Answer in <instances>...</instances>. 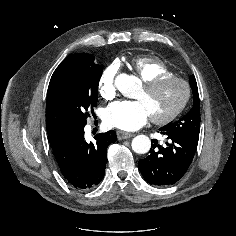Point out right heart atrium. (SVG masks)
<instances>
[{"label": "right heart atrium", "mask_w": 236, "mask_h": 236, "mask_svg": "<svg viewBox=\"0 0 236 236\" xmlns=\"http://www.w3.org/2000/svg\"><path fill=\"white\" fill-rule=\"evenodd\" d=\"M119 69V64L113 62L108 65L101 73L98 80L99 93L105 99H112L116 94V75Z\"/></svg>", "instance_id": "right-heart-atrium-1"}]
</instances>
